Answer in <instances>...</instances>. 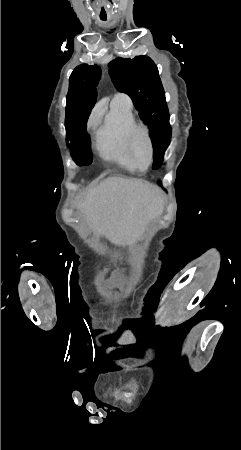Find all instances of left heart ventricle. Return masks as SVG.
<instances>
[{"instance_id":"1","label":"left heart ventricle","mask_w":241,"mask_h":450,"mask_svg":"<svg viewBox=\"0 0 241 450\" xmlns=\"http://www.w3.org/2000/svg\"><path fill=\"white\" fill-rule=\"evenodd\" d=\"M145 138V137H144ZM138 150L140 151V152H143L144 150H145V147L143 146V145H140L139 147H138Z\"/></svg>"}]
</instances>
